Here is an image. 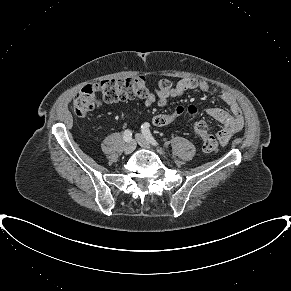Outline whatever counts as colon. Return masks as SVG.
I'll use <instances>...</instances> for the list:
<instances>
[{
  "label": "colon",
  "mask_w": 291,
  "mask_h": 291,
  "mask_svg": "<svg viewBox=\"0 0 291 291\" xmlns=\"http://www.w3.org/2000/svg\"><path fill=\"white\" fill-rule=\"evenodd\" d=\"M149 90L144 77L125 78L119 80H105L85 86L73 99V110L76 115L85 117L102 102L115 103L135 98H146ZM196 109L190 107H177L168 114H158L152 121L156 126H166L183 115L192 116ZM194 132L201 137L203 149L206 152H216L220 148V141L216 134L209 133L207 125L196 121L193 125Z\"/></svg>",
  "instance_id": "1"
}]
</instances>
